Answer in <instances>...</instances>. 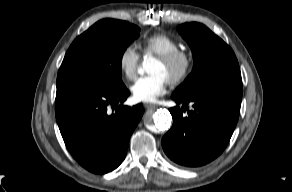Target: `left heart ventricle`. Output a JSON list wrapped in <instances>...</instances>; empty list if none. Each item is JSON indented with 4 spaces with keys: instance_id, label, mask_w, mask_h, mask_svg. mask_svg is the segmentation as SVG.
Returning <instances> with one entry per match:
<instances>
[{
    "instance_id": "1",
    "label": "left heart ventricle",
    "mask_w": 292,
    "mask_h": 192,
    "mask_svg": "<svg viewBox=\"0 0 292 192\" xmlns=\"http://www.w3.org/2000/svg\"><path fill=\"white\" fill-rule=\"evenodd\" d=\"M149 73H159L162 74L167 80L173 73V69L159 59H156L149 67Z\"/></svg>"
}]
</instances>
